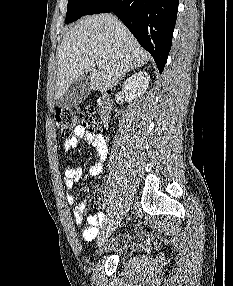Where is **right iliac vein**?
Masks as SVG:
<instances>
[{"label":"right iliac vein","instance_id":"right-iliac-vein-1","mask_svg":"<svg viewBox=\"0 0 233 286\" xmlns=\"http://www.w3.org/2000/svg\"><path fill=\"white\" fill-rule=\"evenodd\" d=\"M117 226V222L112 220L110 221L102 231L100 238H99V243L102 244L105 242V240L115 231Z\"/></svg>","mask_w":233,"mask_h":286}]
</instances>
